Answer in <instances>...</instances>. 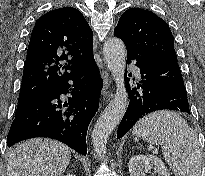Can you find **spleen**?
<instances>
[{
    "instance_id": "3e777b00",
    "label": "spleen",
    "mask_w": 205,
    "mask_h": 176,
    "mask_svg": "<svg viewBox=\"0 0 205 176\" xmlns=\"http://www.w3.org/2000/svg\"><path fill=\"white\" fill-rule=\"evenodd\" d=\"M133 134L161 145L175 176H201V155L195 131L185 119L172 111L153 112L140 119Z\"/></svg>"
}]
</instances>
